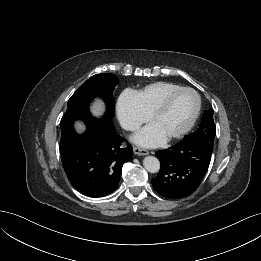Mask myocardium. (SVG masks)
Returning a JSON list of instances; mask_svg holds the SVG:
<instances>
[{"label": "myocardium", "instance_id": "myocardium-1", "mask_svg": "<svg viewBox=\"0 0 261 261\" xmlns=\"http://www.w3.org/2000/svg\"><path fill=\"white\" fill-rule=\"evenodd\" d=\"M183 92H191L195 95L196 97V107H195V110L193 112V115L192 117L190 118L189 122L187 123V125L182 129L180 130L179 132L175 133V134H172L168 137H166V139L168 141H172V140H176V139H179V138H182L183 136H185L194 126L199 114H200V111H201V106H202V100H201V96L200 94L193 88H190V87H181L177 90H174L172 92H170L169 94H167L163 100L159 103V105L153 110V112L150 114V121L153 122L154 119L156 117H158L160 114H162L168 107V105L170 104V102L172 101V99L183 93Z\"/></svg>", "mask_w": 261, "mask_h": 261}]
</instances>
